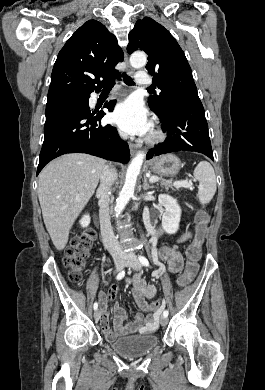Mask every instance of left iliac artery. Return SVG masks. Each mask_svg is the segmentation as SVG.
<instances>
[{"label":"left iliac artery","instance_id":"left-iliac-artery-1","mask_svg":"<svg viewBox=\"0 0 265 390\" xmlns=\"http://www.w3.org/2000/svg\"><path fill=\"white\" fill-rule=\"evenodd\" d=\"M138 259H139V261L141 262L142 265L149 266V262H148L146 257L140 255V256H138ZM168 314H169V312L167 310H165L163 312V316H165V317H167Z\"/></svg>","mask_w":265,"mask_h":390}]
</instances>
